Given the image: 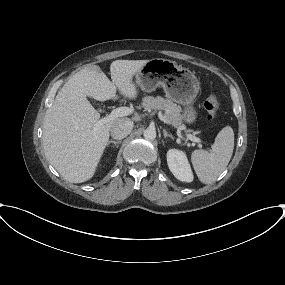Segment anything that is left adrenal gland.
<instances>
[{
	"instance_id": "left-adrenal-gland-1",
	"label": "left adrenal gland",
	"mask_w": 285,
	"mask_h": 285,
	"mask_svg": "<svg viewBox=\"0 0 285 285\" xmlns=\"http://www.w3.org/2000/svg\"><path fill=\"white\" fill-rule=\"evenodd\" d=\"M163 133H164V138L166 139L167 137L171 138L172 140H174V137L170 134H168V132L164 129L163 130Z\"/></svg>"
}]
</instances>
